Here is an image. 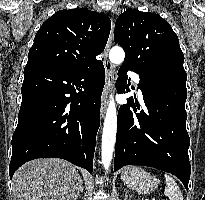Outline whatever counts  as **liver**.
<instances>
[{
    "instance_id": "obj_1",
    "label": "liver",
    "mask_w": 205,
    "mask_h": 200,
    "mask_svg": "<svg viewBox=\"0 0 205 200\" xmlns=\"http://www.w3.org/2000/svg\"><path fill=\"white\" fill-rule=\"evenodd\" d=\"M80 179L76 167L68 161L35 159L14 173V200H74Z\"/></svg>"
}]
</instances>
